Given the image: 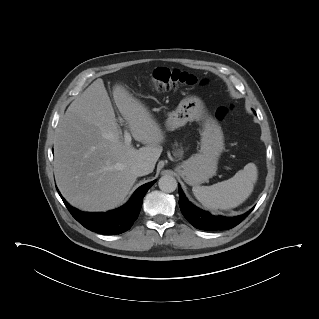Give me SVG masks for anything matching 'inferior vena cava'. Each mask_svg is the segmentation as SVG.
<instances>
[{
  "instance_id": "obj_1",
  "label": "inferior vena cava",
  "mask_w": 319,
  "mask_h": 319,
  "mask_svg": "<svg viewBox=\"0 0 319 319\" xmlns=\"http://www.w3.org/2000/svg\"><path fill=\"white\" fill-rule=\"evenodd\" d=\"M131 172L136 176H144L151 173V168L147 162H138L132 165Z\"/></svg>"
}]
</instances>
